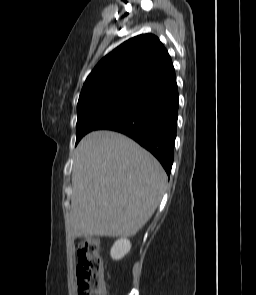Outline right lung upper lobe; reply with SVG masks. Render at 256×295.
I'll return each instance as SVG.
<instances>
[{
  "label": "right lung upper lobe",
  "mask_w": 256,
  "mask_h": 295,
  "mask_svg": "<svg viewBox=\"0 0 256 295\" xmlns=\"http://www.w3.org/2000/svg\"><path fill=\"white\" fill-rule=\"evenodd\" d=\"M172 66L171 58L152 34L130 38L106 55L87 77L78 105L138 92Z\"/></svg>",
  "instance_id": "cb5924a9"
}]
</instances>
